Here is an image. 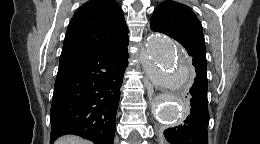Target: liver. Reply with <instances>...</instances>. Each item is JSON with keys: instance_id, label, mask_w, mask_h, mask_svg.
<instances>
[{"instance_id": "obj_1", "label": "liver", "mask_w": 260, "mask_h": 144, "mask_svg": "<svg viewBox=\"0 0 260 144\" xmlns=\"http://www.w3.org/2000/svg\"><path fill=\"white\" fill-rule=\"evenodd\" d=\"M55 144H90V142L76 136L68 135L58 139Z\"/></svg>"}]
</instances>
